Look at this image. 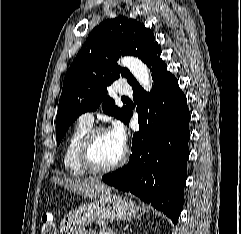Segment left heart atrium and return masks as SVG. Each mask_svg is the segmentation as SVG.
I'll return each instance as SVG.
<instances>
[{
    "mask_svg": "<svg viewBox=\"0 0 241 234\" xmlns=\"http://www.w3.org/2000/svg\"><path fill=\"white\" fill-rule=\"evenodd\" d=\"M109 133L112 135V137L117 141L119 145H121L123 148L125 147L127 135L124 126L120 122H114Z\"/></svg>",
    "mask_w": 241,
    "mask_h": 234,
    "instance_id": "1",
    "label": "left heart atrium"
}]
</instances>
